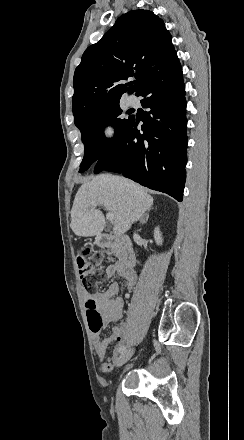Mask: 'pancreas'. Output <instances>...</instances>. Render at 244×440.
Returning a JSON list of instances; mask_svg holds the SVG:
<instances>
[{
	"label": "pancreas",
	"instance_id": "1",
	"mask_svg": "<svg viewBox=\"0 0 244 440\" xmlns=\"http://www.w3.org/2000/svg\"><path fill=\"white\" fill-rule=\"evenodd\" d=\"M112 252H114L116 258H118V256H119V250H118V248H116V246H112Z\"/></svg>",
	"mask_w": 244,
	"mask_h": 440
}]
</instances>
